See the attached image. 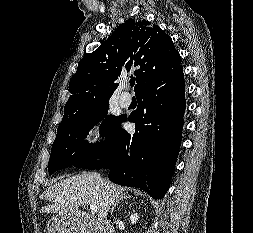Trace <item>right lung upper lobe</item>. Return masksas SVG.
<instances>
[{
	"instance_id": "cb5924a9",
	"label": "right lung upper lobe",
	"mask_w": 253,
	"mask_h": 233,
	"mask_svg": "<svg viewBox=\"0 0 253 233\" xmlns=\"http://www.w3.org/2000/svg\"><path fill=\"white\" fill-rule=\"evenodd\" d=\"M180 63L179 52L165 31L147 20L129 19L99 48L82 58L69 83L72 95L64 107L63 118L109 101L119 79L130 72L136 77L137 94L146 83Z\"/></svg>"
}]
</instances>
